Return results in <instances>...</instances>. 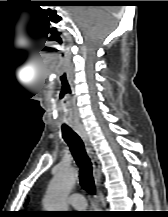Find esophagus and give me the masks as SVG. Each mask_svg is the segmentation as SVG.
Here are the masks:
<instances>
[{
	"label": "esophagus",
	"mask_w": 168,
	"mask_h": 217,
	"mask_svg": "<svg viewBox=\"0 0 168 217\" xmlns=\"http://www.w3.org/2000/svg\"><path fill=\"white\" fill-rule=\"evenodd\" d=\"M73 129L81 137V139L84 142L86 151L92 162L94 180H95L96 185L99 187L100 182H101V167H100V163L97 157L95 156L93 152V148H92V144L90 142L89 136L82 124L75 125Z\"/></svg>",
	"instance_id": "obj_1"
}]
</instances>
